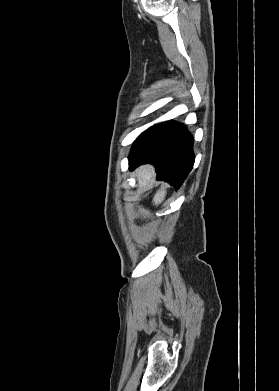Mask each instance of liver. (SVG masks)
I'll use <instances>...</instances> for the list:
<instances>
[{
    "instance_id": "obj_1",
    "label": "liver",
    "mask_w": 279,
    "mask_h": 391,
    "mask_svg": "<svg viewBox=\"0 0 279 391\" xmlns=\"http://www.w3.org/2000/svg\"><path fill=\"white\" fill-rule=\"evenodd\" d=\"M155 176L154 168L151 165H143L139 167L135 172V177L137 178L138 191L142 192L147 190L153 183ZM166 196V187L163 186L156 193L153 199L154 205H159L162 203Z\"/></svg>"
}]
</instances>
